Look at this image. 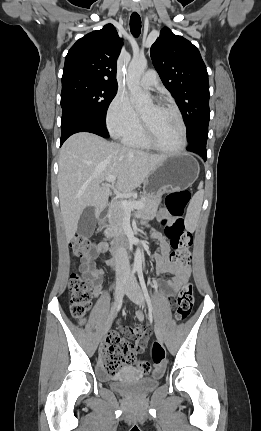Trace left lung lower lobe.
<instances>
[{
	"instance_id": "1",
	"label": "left lung lower lobe",
	"mask_w": 261,
	"mask_h": 431,
	"mask_svg": "<svg viewBox=\"0 0 261 431\" xmlns=\"http://www.w3.org/2000/svg\"><path fill=\"white\" fill-rule=\"evenodd\" d=\"M207 137H199L188 144L187 150L199 154L204 161L207 159L206 153Z\"/></svg>"
}]
</instances>
